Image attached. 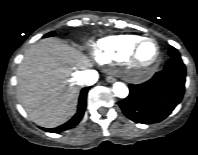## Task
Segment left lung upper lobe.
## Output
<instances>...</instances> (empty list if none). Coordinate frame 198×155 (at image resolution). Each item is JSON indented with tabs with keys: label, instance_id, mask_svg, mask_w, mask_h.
Returning a JSON list of instances; mask_svg holds the SVG:
<instances>
[{
	"label": "left lung upper lobe",
	"instance_id": "left-lung-upper-lobe-1",
	"mask_svg": "<svg viewBox=\"0 0 198 155\" xmlns=\"http://www.w3.org/2000/svg\"><path fill=\"white\" fill-rule=\"evenodd\" d=\"M168 54L171 58H180L179 52L174 47H170Z\"/></svg>",
	"mask_w": 198,
	"mask_h": 155
}]
</instances>
